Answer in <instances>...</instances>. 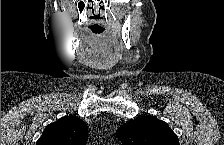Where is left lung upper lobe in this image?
Here are the masks:
<instances>
[{
  "instance_id": "obj_1",
  "label": "left lung upper lobe",
  "mask_w": 224,
  "mask_h": 145,
  "mask_svg": "<svg viewBox=\"0 0 224 145\" xmlns=\"http://www.w3.org/2000/svg\"><path fill=\"white\" fill-rule=\"evenodd\" d=\"M116 136L123 145H179L167 123L154 116L140 117L122 125Z\"/></svg>"
}]
</instances>
